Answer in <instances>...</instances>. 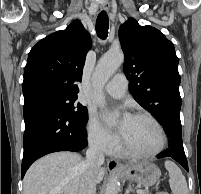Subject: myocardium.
Returning <instances> with one entry per match:
<instances>
[{"mask_svg":"<svg viewBox=\"0 0 201 194\" xmlns=\"http://www.w3.org/2000/svg\"><path fill=\"white\" fill-rule=\"evenodd\" d=\"M133 117H139V118H146L148 120H150L158 129L159 135H160V143L158 145V147L156 149H154L153 151L150 152H141V151H137L133 148H131L126 141L123 139L122 140V145H123V149L124 151L131 156L134 157H138V158H152L155 157L157 155H159L165 148L167 145V133L163 127V125L160 123V121L154 117L152 114L148 113V112H137L133 115Z\"/></svg>","mask_w":201,"mask_h":194,"instance_id":"1","label":"myocardium"}]
</instances>
